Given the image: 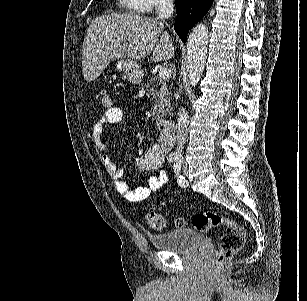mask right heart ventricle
<instances>
[{
	"label": "right heart ventricle",
	"instance_id": "obj_1",
	"mask_svg": "<svg viewBox=\"0 0 307 301\" xmlns=\"http://www.w3.org/2000/svg\"><path fill=\"white\" fill-rule=\"evenodd\" d=\"M140 0H122V4H129V8H139Z\"/></svg>",
	"mask_w": 307,
	"mask_h": 301
}]
</instances>
